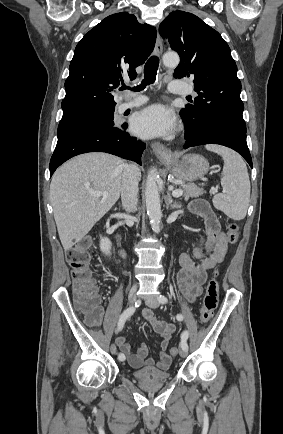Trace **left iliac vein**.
<instances>
[{"mask_svg":"<svg viewBox=\"0 0 283 434\" xmlns=\"http://www.w3.org/2000/svg\"><path fill=\"white\" fill-rule=\"evenodd\" d=\"M146 305H148L150 308L156 309L159 307V301L155 298H147L145 300ZM180 356L182 358H185L187 356V350L182 349L180 351Z\"/></svg>","mask_w":283,"mask_h":434,"instance_id":"4c4485c4","label":"left iliac vein"}]
</instances>
